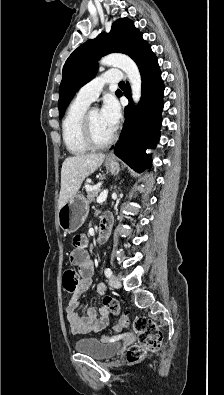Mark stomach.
Returning a JSON list of instances; mask_svg holds the SVG:
<instances>
[{"label":"stomach","instance_id":"stomach-1","mask_svg":"<svg viewBox=\"0 0 224 395\" xmlns=\"http://www.w3.org/2000/svg\"><path fill=\"white\" fill-rule=\"evenodd\" d=\"M107 171L116 175L120 171L116 160L107 159L105 162ZM89 212V203L82 194H76L67 201L58 211V223L60 228L68 233L76 232L84 223Z\"/></svg>","mask_w":224,"mask_h":395}]
</instances>
